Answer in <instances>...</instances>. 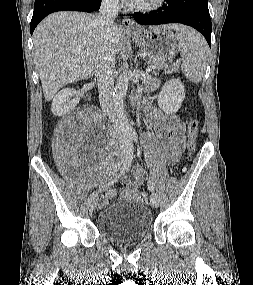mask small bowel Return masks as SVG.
Masks as SVG:
<instances>
[{"mask_svg": "<svg viewBox=\"0 0 253 285\" xmlns=\"http://www.w3.org/2000/svg\"><path fill=\"white\" fill-rule=\"evenodd\" d=\"M157 84L154 82L151 88L156 87ZM146 112L150 119L151 130L162 140L159 144V150L169 163H176L185 144V124L177 116L168 115L151 105L146 106ZM134 170L135 177L133 179L126 175H123V179H121L125 184V189L121 193L123 200L136 201L138 199L137 187L145 180V175L139 166H135ZM114 180L119 179L115 177ZM116 194L117 191L114 188H109V191H106L105 199L110 200Z\"/></svg>", "mask_w": 253, "mask_h": 285, "instance_id": "obj_1", "label": "small bowel"}]
</instances>
